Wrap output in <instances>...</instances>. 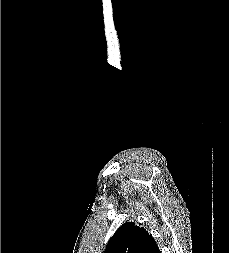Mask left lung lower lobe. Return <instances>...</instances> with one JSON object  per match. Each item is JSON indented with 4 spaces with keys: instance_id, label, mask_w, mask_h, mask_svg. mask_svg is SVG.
I'll return each instance as SVG.
<instances>
[{
    "instance_id": "0a47b994",
    "label": "left lung lower lobe",
    "mask_w": 229,
    "mask_h": 253,
    "mask_svg": "<svg viewBox=\"0 0 229 253\" xmlns=\"http://www.w3.org/2000/svg\"><path fill=\"white\" fill-rule=\"evenodd\" d=\"M156 253H160L159 249L157 250V252H156Z\"/></svg>"
}]
</instances>
